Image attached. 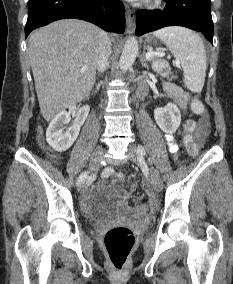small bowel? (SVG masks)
I'll return each instance as SVG.
<instances>
[{"label":"small bowel","instance_id":"obj_1","mask_svg":"<svg viewBox=\"0 0 233 284\" xmlns=\"http://www.w3.org/2000/svg\"><path fill=\"white\" fill-rule=\"evenodd\" d=\"M164 87H165V91L167 92V94L174 100V102L178 106H180L181 108L186 107L188 100H189V95L187 93L182 91V89L180 87H178L174 84H171V83H166ZM186 124L193 125L196 128L197 134L202 135V136H204L207 133L208 127H209L208 117H206V116H202L198 125L194 121H188ZM165 139L168 143L170 151L173 152V153L177 152L178 146L174 142L173 136L170 135V134H166Z\"/></svg>","mask_w":233,"mask_h":284}]
</instances>
